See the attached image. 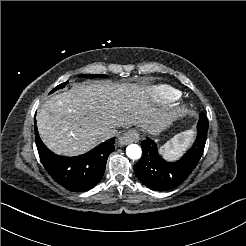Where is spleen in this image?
I'll use <instances>...</instances> for the list:
<instances>
[{"label":"spleen","mask_w":246,"mask_h":246,"mask_svg":"<svg viewBox=\"0 0 246 246\" xmlns=\"http://www.w3.org/2000/svg\"><path fill=\"white\" fill-rule=\"evenodd\" d=\"M194 137V130L189 129L171 138L161 147V152L166 159L174 160L191 144Z\"/></svg>","instance_id":"1"}]
</instances>
